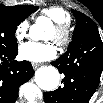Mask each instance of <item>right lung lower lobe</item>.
<instances>
[{
    "instance_id": "right-lung-lower-lobe-1",
    "label": "right lung lower lobe",
    "mask_w": 103,
    "mask_h": 103,
    "mask_svg": "<svg viewBox=\"0 0 103 103\" xmlns=\"http://www.w3.org/2000/svg\"><path fill=\"white\" fill-rule=\"evenodd\" d=\"M18 50L0 52V103H14L18 97L20 85L27 82L34 74L28 61L13 60ZM8 61H11L8 64ZM8 64V65H7Z\"/></svg>"
}]
</instances>
